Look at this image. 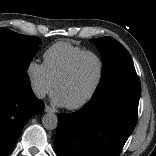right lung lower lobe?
<instances>
[{"instance_id": "obj_1", "label": "right lung lower lobe", "mask_w": 156, "mask_h": 156, "mask_svg": "<svg viewBox=\"0 0 156 156\" xmlns=\"http://www.w3.org/2000/svg\"><path fill=\"white\" fill-rule=\"evenodd\" d=\"M43 109L44 104L32 93L30 80L0 75V156L12 151L26 122Z\"/></svg>"}]
</instances>
